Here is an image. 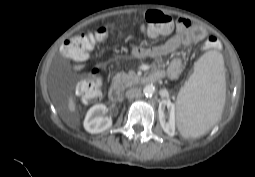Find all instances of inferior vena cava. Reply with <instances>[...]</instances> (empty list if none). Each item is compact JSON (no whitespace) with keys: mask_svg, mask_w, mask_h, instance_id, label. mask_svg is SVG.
<instances>
[{"mask_svg":"<svg viewBox=\"0 0 255 177\" xmlns=\"http://www.w3.org/2000/svg\"><path fill=\"white\" fill-rule=\"evenodd\" d=\"M125 95L128 99L136 98L141 95V90L138 88H130L126 91Z\"/></svg>","mask_w":255,"mask_h":177,"instance_id":"inferior-vena-cava-1","label":"inferior vena cava"}]
</instances>
